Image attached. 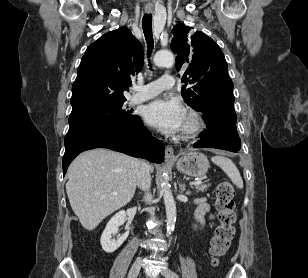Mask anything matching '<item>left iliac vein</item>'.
I'll list each match as a JSON object with an SVG mask.
<instances>
[{"mask_svg": "<svg viewBox=\"0 0 308 278\" xmlns=\"http://www.w3.org/2000/svg\"><path fill=\"white\" fill-rule=\"evenodd\" d=\"M161 273L165 278H179L175 272L168 268L163 269Z\"/></svg>", "mask_w": 308, "mask_h": 278, "instance_id": "left-iliac-vein-1", "label": "left iliac vein"}]
</instances>
